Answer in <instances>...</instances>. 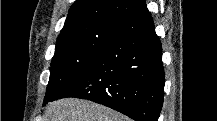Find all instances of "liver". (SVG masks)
<instances>
[{"mask_svg": "<svg viewBox=\"0 0 217 121\" xmlns=\"http://www.w3.org/2000/svg\"><path fill=\"white\" fill-rule=\"evenodd\" d=\"M45 116L47 121H130L108 107L77 98L51 102Z\"/></svg>", "mask_w": 217, "mask_h": 121, "instance_id": "1", "label": "liver"}]
</instances>
